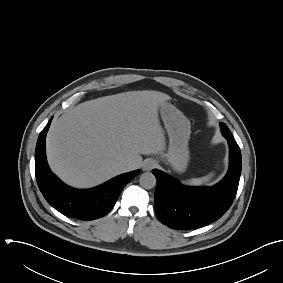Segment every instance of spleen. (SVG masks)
Segmentation results:
<instances>
[{
	"instance_id": "obj_1",
	"label": "spleen",
	"mask_w": 283,
	"mask_h": 283,
	"mask_svg": "<svg viewBox=\"0 0 283 283\" xmlns=\"http://www.w3.org/2000/svg\"><path fill=\"white\" fill-rule=\"evenodd\" d=\"M213 175L214 173H210L201 178H192L190 180L184 181V183L190 186H200L207 183L213 177Z\"/></svg>"
}]
</instances>
